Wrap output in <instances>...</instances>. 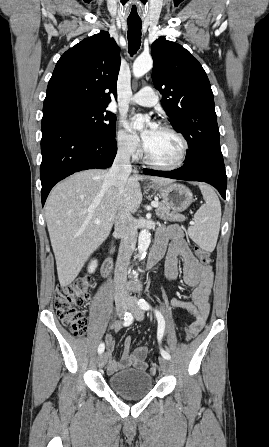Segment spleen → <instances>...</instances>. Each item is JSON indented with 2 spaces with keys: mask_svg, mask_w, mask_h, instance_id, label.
<instances>
[{
  "mask_svg": "<svg viewBox=\"0 0 269 447\" xmlns=\"http://www.w3.org/2000/svg\"><path fill=\"white\" fill-rule=\"evenodd\" d=\"M199 188L206 204H203L196 212L193 218L195 225L188 227V233L199 247L205 251H213L220 229L221 204L212 186H207L202 182Z\"/></svg>",
  "mask_w": 269,
  "mask_h": 447,
  "instance_id": "spleen-1",
  "label": "spleen"
}]
</instances>
